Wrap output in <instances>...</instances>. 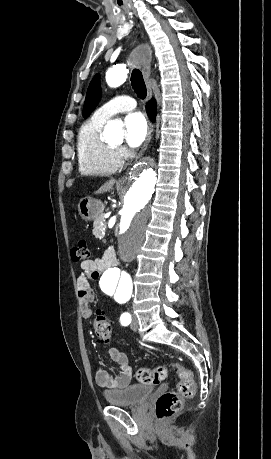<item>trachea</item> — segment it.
Returning a JSON list of instances; mask_svg holds the SVG:
<instances>
[{"instance_id": "3493384b", "label": "trachea", "mask_w": 271, "mask_h": 459, "mask_svg": "<svg viewBox=\"0 0 271 459\" xmlns=\"http://www.w3.org/2000/svg\"><path fill=\"white\" fill-rule=\"evenodd\" d=\"M131 85L139 98L144 99L147 95V88L140 70L135 68L131 74Z\"/></svg>"}]
</instances>
